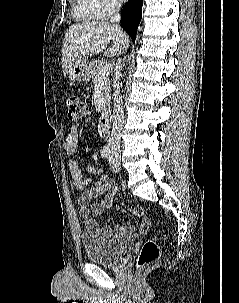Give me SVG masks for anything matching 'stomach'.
I'll use <instances>...</instances> for the list:
<instances>
[{
	"label": "stomach",
	"mask_w": 239,
	"mask_h": 303,
	"mask_svg": "<svg viewBox=\"0 0 239 303\" xmlns=\"http://www.w3.org/2000/svg\"><path fill=\"white\" fill-rule=\"evenodd\" d=\"M67 74L73 81H88L89 70L87 66V59H79L68 66Z\"/></svg>",
	"instance_id": "stomach-1"
}]
</instances>
